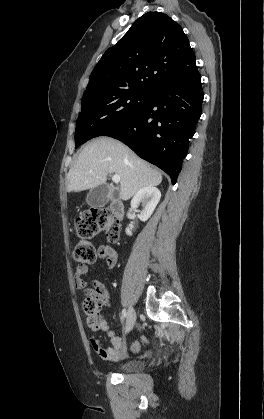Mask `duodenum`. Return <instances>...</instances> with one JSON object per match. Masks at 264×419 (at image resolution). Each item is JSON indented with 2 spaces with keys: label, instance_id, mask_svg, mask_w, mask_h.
Returning <instances> with one entry per match:
<instances>
[{
  "label": "duodenum",
  "instance_id": "410a0bca",
  "mask_svg": "<svg viewBox=\"0 0 264 419\" xmlns=\"http://www.w3.org/2000/svg\"><path fill=\"white\" fill-rule=\"evenodd\" d=\"M112 214L119 220L124 216V205L120 200H113L110 205Z\"/></svg>",
  "mask_w": 264,
  "mask_h": 419
}]
</instances>
